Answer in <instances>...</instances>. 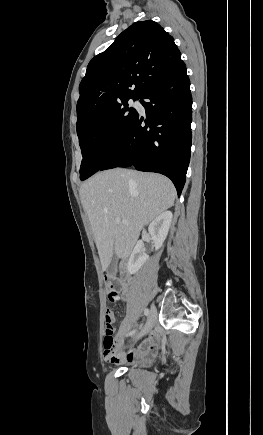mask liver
Segmentation results:
<instances>
[{
  "label": "liver",
  "mask_w": 263,
  "mask_h": 435,
  "mask_svg": "<svg viewBox=\"0 0 263 435\" xmlns=\"http://www.w3.org/2000/svg\"><path fill=\"white\" fill-rule=\"evenodd\" d=\"M80 197L105 271L114 254L129 257L141 229L174 204L176 190L165 176L116 168L84 182Z\"/></svg>",
  "instance_id": "liver-1"
}]
</instances>
